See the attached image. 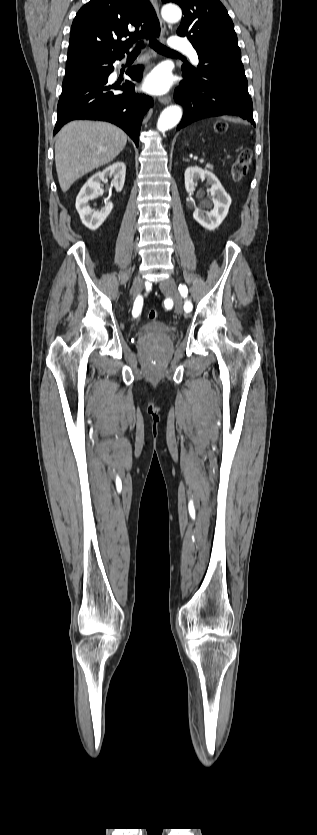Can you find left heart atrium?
Returning <instances> with one entry per match:
<instances>
[{
  "label": "left heart atrium",
  "mask_w": 317,
  "mask_h": 835,
  "mask_svg": "<svg viewBox=\"0 0 317 835\" xmlns=\"http://www.w3.org/2000/svg\"><path fill=\"white\" fill-rule=\"evenodd\" d=\"M170 78L162 68L153 70L145 79L143 88L149 93L162 94L169 89Z\"/></svg>",
  "instance_id": "1"
}]
</instances>
